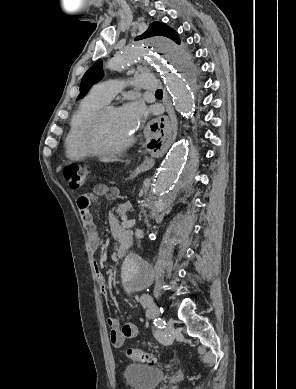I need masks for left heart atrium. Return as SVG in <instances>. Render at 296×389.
Returning a JSON list of instances; mask_svg holds the SVG:
<instances>
[{
  "mask_svg": "<svg viewBox=\"0 0 296 389\" xmlns=\"http://www.w3.org/2000/svg\"><path fill=\"white\" fill-rule=\"evenodd\" d=\"M131 132H135L146 116V108L139 100H132L120 110Z\"/></svg>",
  "mask_w": 296,
  "mask_h": 389,
  "instance_id": "left-heart-atrium-1",
  "label": "left heart atrium"
}]
</instances>
